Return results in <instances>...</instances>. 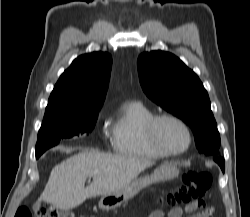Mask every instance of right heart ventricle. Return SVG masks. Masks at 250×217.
<instances>
[{
    "label": "right heart ventricle",
    "instance_id": "right-heart-ventricle-1",
    "mask_svg": "<svg viewBox=\"0 0 250 217\" xmlns=\"http://www.w3.org/2000/svg\"><path fill=\"white\" fill-rule=\"evenodd\" d=\"M153 116L154 112L140 101L124 103L109 126L112 149L118 154L141 159L165 157L151 145L146 135V123Z\"/></svg>",
    "mask_w": 250,
    "mask_h": 217
}]
</instances>
